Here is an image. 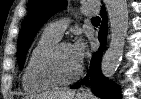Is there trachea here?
Wrapping results in <instances>:
<instances>
[{"label": "trachea", "mask_w": 141, "mask_h": 99, "mask_svg": "<svg viewBox=\"0 0 141 99\" xmlns=\"http://www.w3.org/2000/svg\"><path fill=\"white\" fill-rule=\"evenodd\" d=\"M91 21H92L93 23H99V22L101 21V19H100L98 16H96V17H93V18L91 19Z\"/></svg>", "instance_id": "3493384b"}]
</instances>
